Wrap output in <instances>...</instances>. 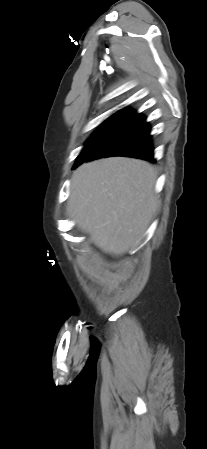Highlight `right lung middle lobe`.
Wrapping results in <instances>:
<instances>
[{"label":"right lung middle lobe","instance_id":"obj_1","mask_svg":"<svg viewBox=\"0 0 207 449\" xmlns=\"http://www.w3.org/2000/svg\"><path fill=\"white\" fill-rule=\"evenodd\" d=\"M136 116L137 115L134 113L118 112L109 117L86 142L85 147L77 157L73 168H76L95 153L111 137L128 125Z\"/></svg>","mask_w":207,"mask_h":449}]
</instances>
